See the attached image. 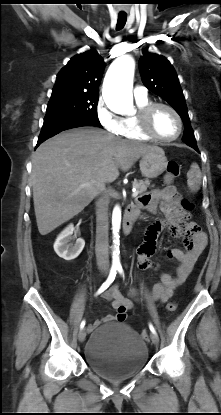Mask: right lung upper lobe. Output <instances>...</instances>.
I'll return each mask as SVG.
<instances>
[{
    "label": "right lung upper lobe",
    "mask_w": 221,
    "mask_h": 415,
    "mask_svg": "<svg viewBox=\"0 0 221 415\" xmlns=\"http://www.w3.org/2000/svg\"><path fill=\"white\" fill-rule=\"evenodd\" d=\"M105 63L93 49L70 59L58 73L52 93H97Z\"/></svg>",
    "instance_id": "obj_1"
}]
</instances>
